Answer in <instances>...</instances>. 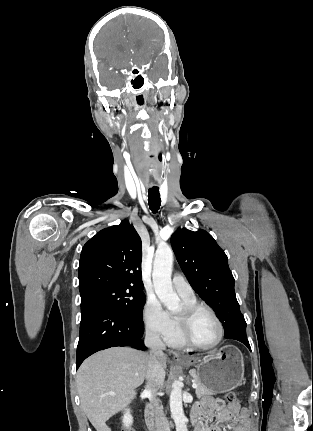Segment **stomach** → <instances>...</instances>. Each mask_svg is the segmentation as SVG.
I'll return each mask as SVG.
<instances>
[{
  "instance_id": "obj_1",
  "label": "stomach",
  "mask_w": 313,
  "mask_h": 431,
  "mask_svg": "<svg viewBox=\"0 0 313 431\" xmlns=\"http://www.w3.org/2000/svg\"><path fill=\"white\" fill-rule=\"evenodd\" d=\"M186 367L195 366L200 383L213 393H225L242 385L244 361L240 350L232 345L224 346L207 356H193L183 361Z\"/></svg>"
}]
</instances>
